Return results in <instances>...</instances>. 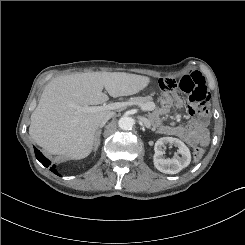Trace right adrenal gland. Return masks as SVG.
Listing matches in <instances>:
<instances>
[{
	"label": "right adrenal gland",
	"instance_id": "right-adrenal-gland-1",
	"mask_svg": "<svg viewBox=\"0 0 245 245\" xmlns=\"http://www.w3.org/2000/svg\"><path fill=\"white\" fill-rule=\"evenodd\" d=\"M102 127L100 126L99 129L97 130L96 137H95V143H94V149L96 150L98 146L100 145V136L102 132Z\"/></svg>",
	"mask_w": 245,
	"mask_h": 245
}]
</instances>
